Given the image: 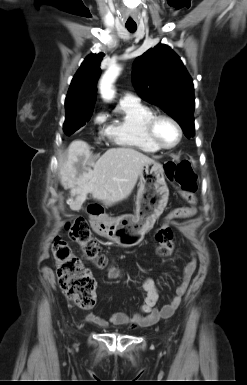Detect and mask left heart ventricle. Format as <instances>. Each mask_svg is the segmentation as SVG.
<instances>
[{
	"label": "left heart ventricle",
	"mask_w": 247,
	"mask_h": 385,
	"mask_svg": "<svg viewBox=\"0 0 247 385\" xmlns=\"http://www.w3.org/2000/svg\"><path fill=\"white\" fill-rule=\"evenodd\" d=\"M156 135L158 140L166 146L175 144L178 139L177 129L171 122L167 120H160L157 123Z\"/></svg>",
	"instance_id": "obj_1"
}]
</instances>
